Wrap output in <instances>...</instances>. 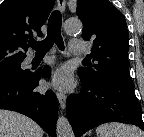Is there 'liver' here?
<instances>
[{
    "label": "liver",
    "instance_id": "6515ba94",
    "mask_svg": "<svg viewBox=\"0 0 144 137\" xmlns=\"http://www.w3.org/2000/svg\"><path fill=\"white\" fill-rule=\"evenodd\" d=\"M0 137H43V130L20 113L0 110Z\"/></svg>",
    "mask_w": 144,
    "mask_h": 137
}]
</instances>
